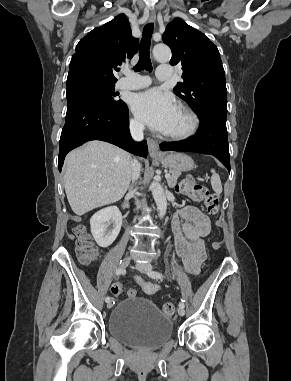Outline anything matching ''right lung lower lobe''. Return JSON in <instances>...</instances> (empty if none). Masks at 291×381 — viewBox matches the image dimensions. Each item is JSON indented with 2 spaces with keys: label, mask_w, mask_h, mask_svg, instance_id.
Segmentation results:
<instances>
[{
  "label": "right lung lower lobe",
  "mask_w": 291,
  "mask_h": 381,
  "mask_svg": "<svg viewBox=\"0 0 291 381\" xmlns=\"http://www.w3.org/2000/svg\"><path fill=\"white\" fill-rule=\"evenodd\" d=\"M67 113L60 137L58 168L61 171L66 154L89 140H102L146 157V142H134L129 133L128 108L106 104L87 88L70 85L66 90Z\"/></svg>",
  "instance_id": "obj_1"
}]
</instances>
